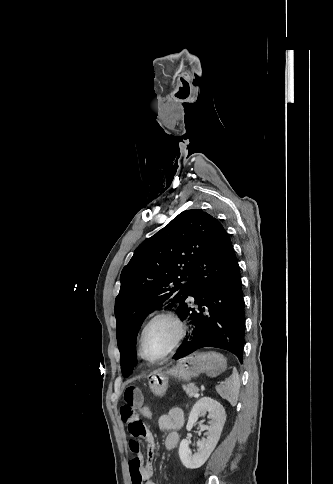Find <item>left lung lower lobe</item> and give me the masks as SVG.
Wrapping results in <instances>:
<instances>
[{
  "mask_svg": "<svg viewBox=\"0 0 333 484\" xmlns=\"http://www.w3.org/2000/svg\"><path fill=\"white\" fill-rule=\"evenodd\" d=\"M189 297L197 308L179 305L177 314L192 334L173 356L177 360L202 347L225 349L242 363L245 313L239 265L229 235L217 219L210 225L189 271Z\"/></svg>",
  "mask_w": 333,
  "mask_h": 484,
  "instance_id": "obj_1",
  "label": "left lung lower lobe"
}]
</instances>
